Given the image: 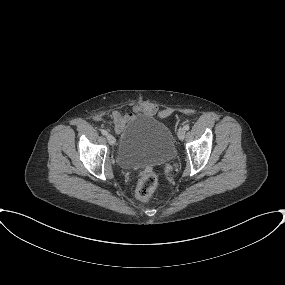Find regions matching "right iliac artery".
Here are the masks:
<instances>
[{
    "mask_svg": "<svg viewBox=\"0 0 285 285\" xmlns=\"http://www.w3.org/2000/svg\"><path fill=\"white\" fill-rule=\"evenodd\" d=\"M101 133H102L103 135H105V136L108 135V132H107L106 130H104V129L101 130Z\"/></svg>",
    "mask_w": 285,
    "mask_h": 285,
    "instance_id": "obj_1",
    "label": "right iliac artery"
}]
</instances>
